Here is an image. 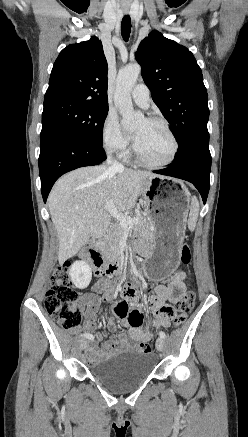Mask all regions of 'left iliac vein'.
I'll return each mask as SVG.
<instances>
[{"mask_svg": "<svg viewBox=\"0 0 248 437\" xmlns=\"http://www.w3.org/2000/svg\"><path fill=\"white\" fill-rule=\"evenodd\" d=\"M164 344H165V342H164L163 338H161V337L157 338V340H156V348H157L158 351H162L163 350Z\"/></svg>", "mask_w": 248, "mask_h": 437, "instance_id": "1", "label": "left iliac vein"}]
</instances>
